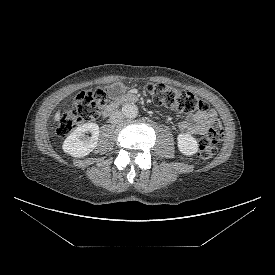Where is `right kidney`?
I'll use <instances>...</instances> for the list:
<instances>
[{
    "mask_svg": "<svg viewBox=\"0 0 275 275\" xmlns=\"http://www.w3.org/2000/svg\"><path fill=\"white\" fill-rule=\"evenodd\" d=\"M87 132H91V137H86ZM99 132V126L96 123L83 124L65 139L62 149L73 157H84L97 146Z\"/></svg>",
    "mask_w": 275,
    "mask_h": 275,
    "instance_id": "ca27d5eb",
    "label": "right kidney"
}]
</instances>
